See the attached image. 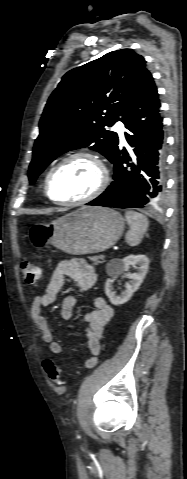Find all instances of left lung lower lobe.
I'll use <instances>...</instances> for the list:
<instances>
[{
  "mask_svg": "<svg viewBox=\"0 0 187 479\" xmlns=\"http://www.w3.org/2000/svg\"><path fill=\"white\" fill-rule=\"evenodd\" d=\"M157 87L150 74L131 107L124 125L125 138L136 156L119 149L112 163L114 181L87 205L143 208L158 203L164 194L165 142Z\"/></svg>",
  "mask_w": 187,
  "mask_h": 479,
  "instance_id": "1",
  "label": "left lung lower lobe"
}]
</instances>
